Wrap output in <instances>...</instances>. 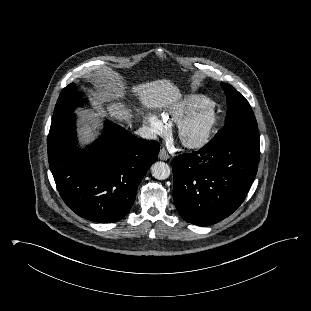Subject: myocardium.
<instances>
[{
	"mask_svg": "<svg viewBox=\"0 0 311 311\" xmlns=\"http://www.w3.org/2000/svg\"><path fill=\"white\" fill-rule=\"evenodd\" d=\"M218 120L216 107L211 103L184 118L178 124V138L189 149H200L211 139ZM203 125L202 133L196 138H188L187 131L196 124Z\"/></svg>",
	"mask_w": 311,
	"mask_h": 311,
	"instance_id": "myocardium-1",
	"label": "myocardium"
}]
</instances>
